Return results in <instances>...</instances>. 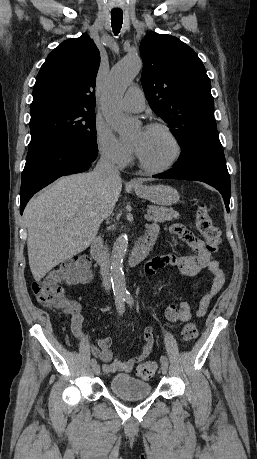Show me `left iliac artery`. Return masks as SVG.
Segmentation results:
<instances>
[{
  "label": "left iliac artery",
  "instance_id": "44dca946",
  "mask_svg": "<svg viewBox=\"0 0 257 459\" xmlns=\"http://www.w3.org/2000/svg\"><path fill=\"white\" fill-rule=\"evenodd\" d=\"M124 299H125V301H126L129 305H132V304L134 303L133 297H132L129 293L124 295ZM160 362H161L162 364L165 363V364L168 365V359H167V357L164 356V355H162V356L160 357Z\"/></svg>",
  "mask_w": 257,
  "mask_h": 459
}]
</instances>
